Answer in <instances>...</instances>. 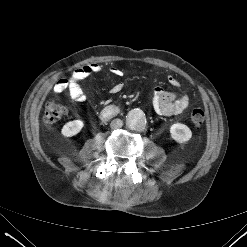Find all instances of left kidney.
I'll return each instance as SVG.
<instances>
[{
	"label": "left kidney",
	"mask_w": 247,
	"mask_h": 247,
	"mask_svg": "<svg viewBox=\"0 0 247 247\" xmlns=\"http://www.w3.org/2000/svg\"><path fill=\"white\" fill-rule=\"evenodd\" d=\"M170 134L172 139L179 144L189 141L192 137V132L189 127L181 123L173 124L170 127Z\"/></svg>",
	"instance_id": "1"
}]
</instances>
